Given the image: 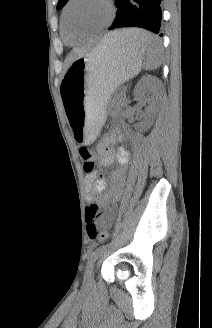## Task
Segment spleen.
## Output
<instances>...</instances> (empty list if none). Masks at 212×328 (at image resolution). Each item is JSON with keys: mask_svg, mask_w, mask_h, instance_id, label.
Masks as SVG:
<instances>
[{"mask_svg": "<svg viewBox=\"0 0 212 328\" xmlns=\"http://www.w3.org/2000/svg\"><path fill=\"white\" fill-rule=\"evenodd\" d=\"M115 35L118 38V41L130 46L132 48L141 49L145 52V61L144 68L146 70H154L157 69L161 64V46L160 44L156 46L147 45V42L153 40L155 37L142 29H130L129 36L127 39L124 38L123 35L119 34Z\"/></svg>", "mask_w": 212, "mask_h": 328, "instance_id": "obj_1", "label": "spleen"}]
</instances>
